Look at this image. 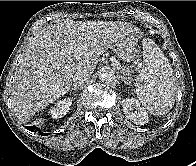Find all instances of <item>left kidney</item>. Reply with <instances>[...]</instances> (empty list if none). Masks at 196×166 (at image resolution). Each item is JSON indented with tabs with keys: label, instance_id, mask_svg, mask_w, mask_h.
Returning a JSON list of instances; mask_svg holds the SVG:
<instances>
[{
	"label": "left kidney",
	"instance_id": "obj_1",
	"mask_svg": "<svg viewBox=\"0 0 196 166\" xmlns=\"http://www.w3.org/2000/svg\"><path fill=\"white\" fill-rule=\"evenodd\" d=\"M122 107L125 116L136 125H144L148 120V116L137 99L128 98L122 100Z\"/></svg>",
	"mask_w": 196,
	"mask_h": 166
}]
</instances>
